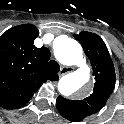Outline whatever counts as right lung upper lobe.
I'll list each match as a JSON object with an SVG mask.
<instances>
[{
  "mask_svg": "<svg viewBox=\"0 0 124 124\" xmlns=\"http://www.w3.org/2000/svg\"><path fill=\"white\" fill-rule=\"evenodd\" d=\"M38 35L34 25L23 24L0 37V106L5 109L24 106L44 82L59 78L47 69L49 50L34 46Z\"/></svg>",
  "mask_w": 124,
  "mask_h": 124,
  "instance_id": "right-lung-upper-lobe-1",
  "label": "right lung upper lobe"
}]
</instances>
